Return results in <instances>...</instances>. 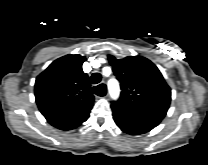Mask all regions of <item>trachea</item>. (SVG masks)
Here are the masks:
<instances>
[{"instance_id": "3493384b", "label": "trachea", "mask_w": 208, "mask_h": 165, "mask_svg": "<svg viewBox=\"0 0 208 165\" xmlns=\"http://www.w3.org/2000/svg\"><path fill=\"white\" fill-rule=\"evenodd\" d=\"M101 74L100 73H93L91 76V82L92 84H98L101 81ZM93 92L98 95V96H104L106 93V89L105 86L98 85L96 87L93 88Z\"/></svg>"}]
</instances>
